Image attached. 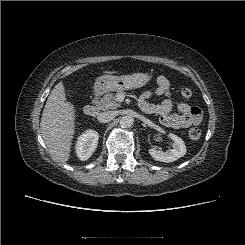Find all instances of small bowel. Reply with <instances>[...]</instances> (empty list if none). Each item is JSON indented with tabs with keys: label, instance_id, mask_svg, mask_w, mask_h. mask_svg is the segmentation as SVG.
<instances>
[{
	"label": "small bowel",
	"instance_id": "obj_1",
	"mask_svg": "<svg viewBox=\"0 0 245 245\" xmlns=\"http://www.w3.org/2000/svg\"><path fill=\"white\" fill-rule=\"evenodd\" d=\"M156 84L154 90L147 91L141 96L140 106L144 111L158 114L161 123L169 128H187L201 122L203 114L197 106H190L182 102L177 105L178 114L172 113L170 82L166 76L159 75L156 78ZM153 95L164 96V99L158 105L150 104L147 99Z\"/></svg>",
	"mask_w": 245,
	"mask_h": 245
}]
</instances>
